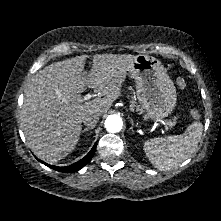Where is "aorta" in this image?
Returning <instances> with one entry per match:
<instances>
[{"mask_svg": "<svg viewBox=\"0 0 221 221\" xmlns=\"http://www.w3.org/2000/svg\"><path fill=\"white\" fill-rule=\"evenodd\" d=\"M123 126L122 119L118 115H110L105 121V128L108 132H120Z\"/></svg>", "mask_w": 221, "mask_h": 221, "instance_id": "1", "label": "aorta"}]
</instances>
